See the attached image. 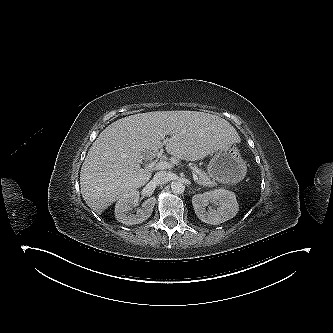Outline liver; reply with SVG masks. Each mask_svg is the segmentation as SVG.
<instances>
[{
  "label": "liver",
  "instance_id": "6515ba94",
  "mask_svg": "<svg viewBox=\"0 0 333 333\" xmlns=\"http://www.w3.org/2000/svg\"><path fill=\"white\" fill-rule=\"evenodd\" d=\"M239 142L229 122L204 112L154 111L124 117L106 127L90 147L80 172L82 197L101 214L150 180L151 171L140 163L153 159L163 145L172 156L195 161Z\"/></svg>",
  "mask_w": 333,
  "mask_h": 333
}]
</instances>
